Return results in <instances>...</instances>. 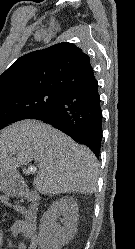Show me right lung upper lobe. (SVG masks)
Masks as SVG:
<instances>
[{"label":"right lung upper lobe","mask_w":135,"mask_h":249,"mask_svg":"<svg viewBox=\"0 0 135 249\" xmlns=\"http://www.w3.org/2000/svg\"><path fill=\"white\" fill-rule=\"evenodd\" d=\"M95 79L90 57L62 42L20 57L0 76V96L33 91L65 92Z\"/></svg>","instance_id":"right-lung-upper-lobe-1"}]
</instances>
